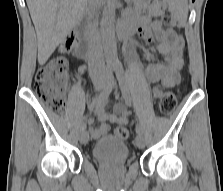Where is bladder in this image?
<instances>
[{
    "label": "bladder",
    "instance_id": "obj_1",
    "mask_svg": "<svg viewBox=\"0 0 223 191\" xmlns=\"http://www.w3.org/2000/svg\"><path fill=\"white\" fill-rule=\"evenodd\" d=\"M95 160L106 164H119L129 158V148L121 138L108 135L99 139L92 147Z\"/></svg>",
    "mask_w": 223,
    "mask_h": 191
}]
</instances>
